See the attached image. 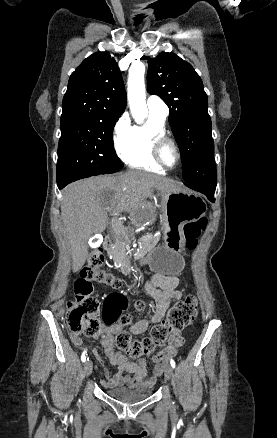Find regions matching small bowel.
I'll list each match as a JSON object with an SVG mask.
<instances>
[{
	"mask_svg": "<svg viewBox=\"0 0 277 438\" xmlns=\"http://www.w3.org/2000/svg\"><path fill=\"white\" fill-rule=\"evenodd\" d=\"M178 284L179 278L177 276L155 274L145 285L147 295L155 302L153 314L148 318L133 323L128 328L129 332L139 335L144 333L150 325L159 322L165 316L172 303L181 298V292L177 289ZM121 330L122 327L118 325L103 327L100 333L96 335L101 342L105 355L109 358L111 364L117 368L114 374L112 369H105L104 374L106 378L103 380V385L107 388L130 386L141 390L153 387L157 379L162 375L166 362L176 351L177 344L181 340L180 332H175L170 336L169 345L160 352L162 355L161 363H154L152 374L148 375L147 361L145 359L130 361L124 354L116 350L114 337ZM70 338L76 346L83 345V338L80 334L71 333ZM91 353L96 355L98 350L93 348Z\"/></svg>",
	"mask_w": 277,
	"mask_h": 438,
	"instance_id": "obj_1",
	"label": "small bowel"
}]
</instances>
